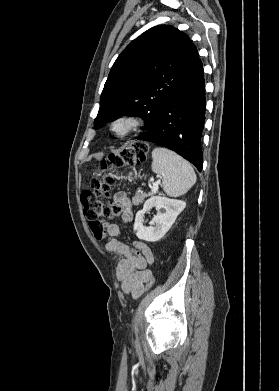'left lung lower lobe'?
Listing matches in <instances>:
<instances>
[{
	"instance_id": "1",
	"label": "left lung lower lobe",
	"mask_w": 279,
	"mask_h": 391,
	"mask_svg": "<svg viewBox=\"0 0 279 391\" xmlns=\"http://www.w3.org/2000/svg\"><path fill=\"white\" fill-rule=\"evenodd\" d=\"M205 110L204 72L200 61L190 78L161 109L155 123L138 139L165 146L202 170Z\"/></svg>"
}]
</instances>
